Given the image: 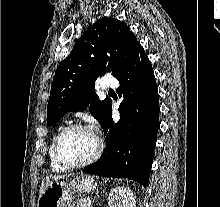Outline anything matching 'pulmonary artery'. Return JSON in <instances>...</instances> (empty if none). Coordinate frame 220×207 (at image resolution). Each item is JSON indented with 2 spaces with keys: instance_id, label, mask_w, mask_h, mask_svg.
<instances>
[{
  "instance_id": "e3ab8cb5",
  "label": "pulmonary artery",
  "mask_w": 220,
  "mask_h": 207,
  "mask_svg": "<svg viewBox=\"0 0 220 207\" xmlns=\"http://www.w3.org/2000/svg\"><path fill=\"white\" fill-rule=\"evenodd\" d=\"M119 85L118 81L113 77H104L101 81L100 88L103 90L115 89Z\"/></svg>"
}]
</instances>
